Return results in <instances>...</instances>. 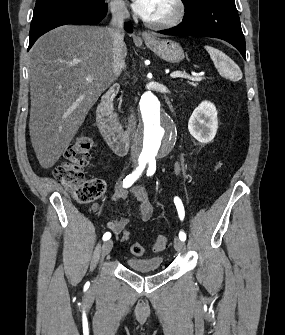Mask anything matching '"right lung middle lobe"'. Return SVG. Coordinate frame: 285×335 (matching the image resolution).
<instances>
[{"label": "right lung middle lobe", "mask_w": 285, "mask_h": 335, "mask_svg": "<svg viewBox=\"0 0 285 335\" xmlns=\"http://www.w3.org/2000/svg\"><path fill=\"white\" fill-rule=\"evenodd\" d=\"M59 1L71 2L75 4L91 5V6L104 4V0H36V5H35L34 10L50 5L54 2H59Z\"/></svg>", "instance_id": "right-lung-middle-lobe-1"}]
</instances>
